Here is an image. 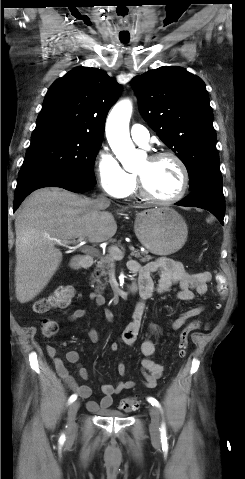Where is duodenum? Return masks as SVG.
<instances>
[{"mask_svg":"<svg viewBox=\"0 0 245 479\" xmlns=\"http://www.w3.org/2000/svg\"><path fill=\"white\" fill-rule=\"evenodd\" d=\"M93 264V259L91 256L89 255H86L84 257H82L79 261H78V265L82 268H89L91 267ZM127 290L129 292H137L138 290V285L136 283H130L127 287Z\"/></svg>","mask_w":245,"mask_h":479,"instance_id":"1","label":"duodenum"}]
</instances>
